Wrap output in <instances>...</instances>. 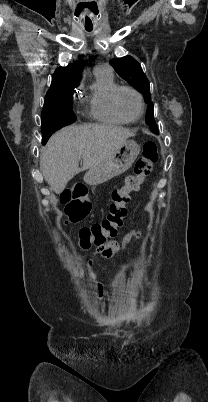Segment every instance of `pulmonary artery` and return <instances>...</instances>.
Returning a JSON list of instances; mask_svg holds the SVG:
<instances>
[{
  "mask_svg": "<svg viewBox=\"0 0 208 402\" xmlns=\"http://www.w3.org/2000/svg\"><path fill=\"white\" fill-rule=\"evenodd\" d=\"M94 71L98 73H104L107 76L113 77V70L108 64L96 66Z\"/></svg>",
  "mask_w": 208,
  "mask_h": 402,
  "instance_id": "1",
  "label": "pulmonary artery"
}]
</instances>
